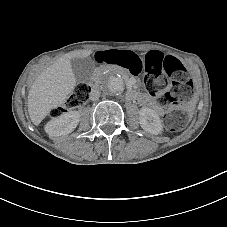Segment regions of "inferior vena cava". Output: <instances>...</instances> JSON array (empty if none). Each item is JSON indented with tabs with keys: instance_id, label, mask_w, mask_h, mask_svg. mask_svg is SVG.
<instances>
[{
	"instance_id": "inferior-vena-cava-1",
	"label": "inferior vena cava",
	"mask_w": 227,
	"mask_h": 227,
	"mask_svg": "<svg viewBox=\"0 0 227 227\" xmlns=\"http://www.w3.org/2000/svg\"><path fill=\"white\" fill-rule=\"evenodd\" d=\"M100 96H101V92L99 89H92L89 94V98L92 101H98Z\"/></svg>"
}]
</instances>
